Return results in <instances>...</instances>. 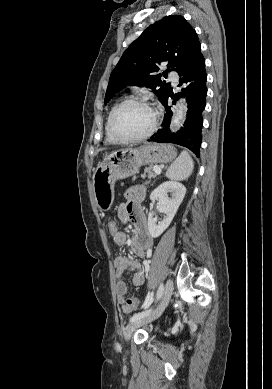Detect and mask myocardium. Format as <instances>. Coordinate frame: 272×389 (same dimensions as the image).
Here are the masks:
<instances>
[{
    "instance_id": "1",
    "label": "myocardium",
    "mask_w": 272,
    "mask_h": 389,
    "mask_svg": "<svg viewBox=\"0 0 272 389\" xmlns=\"http://www.w3.org/2000/svg\"><path fill=\"white\" fill-rule=\"evenodd\" d=\"M130 104H139V105H143V106L149 108L153 114V121H152L150 128L145 133H143L139 136H134V137H123V136L119 135L117 133V131L115 130L114 121H115L117 114L124 107H126ZM158 124H159V113H158L157 109L150 102H148L147 100H145L143 98L130 97V98H127L124 101L120 102L112 111L110 118H109V131H110V134L112 135V137L117 142H121V143L138 142V141H142V140L150 137L156 131Z\"/></svg>"
}]
</instances>
